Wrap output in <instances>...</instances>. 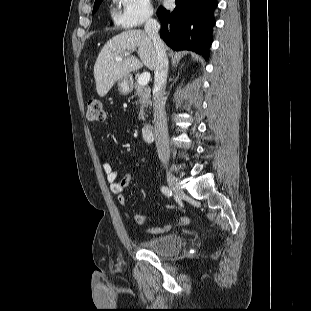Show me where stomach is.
<instances>
[{
  "mask_svg": "<svg viewBox=\"0 0 311 311\" xmlns=\"http://www.w3.org/2000/svg\"><path fill=\"white\" fill-rule=\"evenodd\" d=\"M118 91L122 95H127L132 89V79L130 76L123 77L117 81Z\"/></svg>",
  "mask_w": 311,
  "mask_h": 311,
  "instance_id": "0dacf381",
  "label": "stomach"
}]
</instances>
